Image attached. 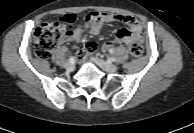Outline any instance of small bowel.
<instances>
[{
	"instance_id": "small-bowel-1",
	"label": "small bowel",
	"mask_w": 194,
	"mask_h": 133,
	"mask_svg": "<svg viewBox=\"0 0 194 133\" xmlns=\"http://www.w3.org/2000/svg\"><path fill=\"white\" fill-rule=\"evenodd\" d=\"M108 22H121L125 27H122L117 31L115 41H108L102 45L103 52L113 51L116 43H124L129 46L133 43L142 44V26L136 18L128 15L97 11H91L85 14L83 22L78 24L74 29L67 31L60 42L80 41L86 30L92 35H98L101 32L103 25Z\"/></svg>"
}]
</instances>
